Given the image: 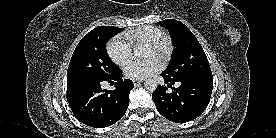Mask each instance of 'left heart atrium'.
Segmentation results:
<instances>
[{"label": "left heart atrium", "mask_w": 276, "mask_h": 138, "mask_svg": "<svg viewBox=\"0 0 276 138\" xmlns=\"http://www.w3.org/2000/svg\"><path fill=\"white\" fill-rule=\"evenodd\" d=\"M161 69V62L153 57L145 61H130L124 68V74L130 79H144Z\"/></svg>", "instance_id": "obj_1"}]
</instances>
